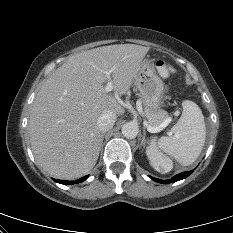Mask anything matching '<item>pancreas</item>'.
Returning <instances> with one entry per match:
<instances>
[{"label":"pancreas","instance_id":"cf45deb5","mask_svg":"<svg viewBox=\"0 0 233 233\" xmlns=\"http://www.w3.org/2000/svg\"><path fill=\"white\" fill-rule=\"evenodd\" d=\"M145 114L148 119V123L152 127H158L167 119V113L158 110L157 112H152L148 108H145Z\"/></svg>","mask_w":233,"mask_h":233}]
</instances>
